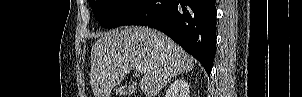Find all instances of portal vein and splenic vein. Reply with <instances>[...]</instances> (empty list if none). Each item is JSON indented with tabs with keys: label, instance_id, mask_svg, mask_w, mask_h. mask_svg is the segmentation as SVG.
<instances>
[{
	"label": "portal vein and splenic vein",
	"instance_id": "portal-vein-and-splenic-vein-1",
	"mask_svg": "<svg viewBox=\"0 0 302 97\" xmlns=\"http://www.w3.org/2000/svg\"><path fill=\"white\" fill-rule=\"evenodd\" d=\"M136 70L139 72V73H145L146 72V67L144 65H137L136 66Z\"/></svg>",
	"mask_w": 302,
	"mask_h": 97
}]
</instances>
